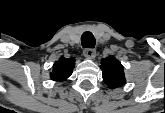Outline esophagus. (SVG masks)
Returning <instances> with one entry per match:
<instances>
[{
    "label": "esophagus",
    "instance_id": "34e87169",
    "mask_svg": "<svg viewBox=\"0 0 165 113\" xmlns=\"http://www.w3.org/2000/svg\"><path fill=\"white\" fill-rule=\"evenodd\" d=\"M83 55L86 57V58H90V59H93L96 55V52L94 49L92 48H86L83 50Z\"/></svg>",
    "mask_w": 165,
    "mask_h": 113
}]
</instances>
